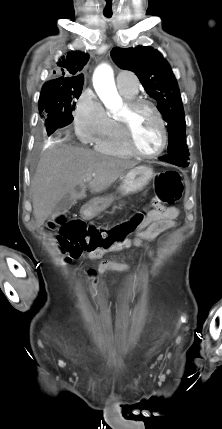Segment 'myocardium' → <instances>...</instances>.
Segmentation results:
<instances>
[{"label":"myocardium","instance_id":"1","mask_svg":"<svg viewBox=\"0 0 222 429\" xmlns=\"http://www.w3.org/2000/svg\"><path fill=\"white\" fill-rule=\"evenodd\" d=\"M125 106L127 108L126 113L122 116H119L117 120L121 128V134H122L124 144L127 147V149L133 155L144 159H154L162 155V153L165 151L168 144V131H167L166 122L162 114L160 113V111L157 109V107L152 102L142 98L129 99L127 100ZM141 108H147L153 112L161 129L162 143L160 148L154 153L142 152L141 150L138 149V147L134 142L133 132H132V117Z\"/></svg>","mask_w":222,"mask_h":429}]
</instances>
